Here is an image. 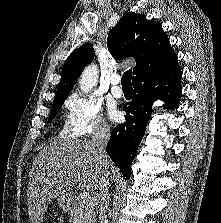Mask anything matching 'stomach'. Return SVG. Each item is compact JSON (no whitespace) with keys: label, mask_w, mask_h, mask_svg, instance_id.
<instances>
[{"label":"stomach","mask_w":221,"mask_h":223,"mask_svg":"<svg viewBox=\"0 0 221 223\" xmlns=\"http://www.w3.org/2000/svg\"><path fill=\"white\" fill-rule=\"evenodd\" d=\"M73 195L69 192L59 195L57 198V202L63 211H70L73 206Z\"/></svg>","instance_id":"1"}]
</instances>
